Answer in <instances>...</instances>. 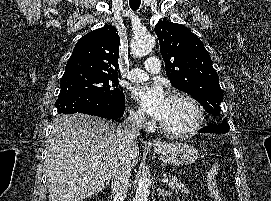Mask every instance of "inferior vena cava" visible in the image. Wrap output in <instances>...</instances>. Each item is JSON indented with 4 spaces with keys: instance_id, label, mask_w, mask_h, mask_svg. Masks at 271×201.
Instances as JSON below:
<instances>
[{
    "instance_id": "inferior-vena-cava-1",
    "label": "inferior vena cava",
    "mask_w": 271,
    "mask_h": 201,
    "mask_svg": "<svg viewBox=\"0 0 271 201\" xmlns=\"http://www.w3.org/2000/svg\"><path fill=\"white\" fill-rule=\"evenodd\" d=\"M145 122L143 112H132L120 125H118L117 138L121 144L123 154L116 159L112 173L113 201H124L129 186L131 173V160L129 148L134 139L140 135V129Z\"/></svg>"
}]
</instances>
